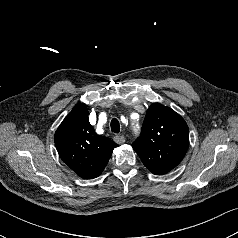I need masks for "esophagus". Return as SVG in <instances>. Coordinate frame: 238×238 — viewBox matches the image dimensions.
I'll use <instances>...</instances> for the list:
<instances>
[{"instance_id": "34e87169", "label": "esophagus", "mask_w": 238, "mask_h": 238, "mask_svg": "<svg viewBox=\"0 0 238 238\" xmlns=\"http://www.w3.org/2000/svg\"><path fill=\"white\" fill-rule=\"evenodd\" d=\"M114 141L117 143V144H123L125 142V137L123 135H116L114 137Z\"/></svg>"}]
</instances>
